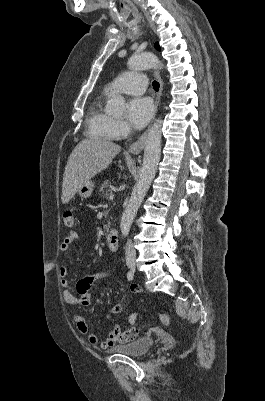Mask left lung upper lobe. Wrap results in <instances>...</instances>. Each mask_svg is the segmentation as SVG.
I'll return each instance as SVG.
<instances>
[{
  "label": "left lung upper lobe",
  "instance_id": "5c2ea615",
  "mask_svg": "<svg viewBox=\"0 0 265 401\" xmlns=\"http://www.w3.org/2000/svg\"><path fill=\"white\" fill-rule=\"evenodd\" d=\"M156 48H157L158 50L160 49L158 44L156 45Z\"/></svg>",
  "mask_w": 265,
  "mask_h": 401
}]
</instances>
